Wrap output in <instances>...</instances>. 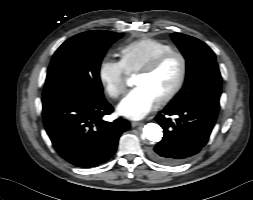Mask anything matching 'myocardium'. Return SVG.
<instances>
[{
    "label": "myocardium",
    "instance_id": "obj_1",
    "mask_svg": "<svg viewBox=\"0 0 253 200\" xmlns=\"http://www.w3.org/2000/svg\"><path fill=\"white\" fill-rule=\"evenodd\" d=\"M171 58L179 59L181 64L180 75L174 87L167 94L157 100V103L159 105H164L170 102L183 88L188 73V63L186 57L178 51L173 50L170 52H166L156 57L154 60H152L150 63H148L146 66H144L137 72V75H151L155 73L164 63H166Z\"/></svg>",
    "mask_w": 253,
    "mask_h": 200
}]
</instances>
